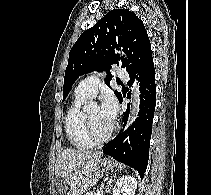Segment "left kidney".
I'll return each mask as SVG.
<instances>
[{
    "mask_svg": "<svg viewBox=\"0 0 211 195\" xmlns=\"http://www.w3.org/2000/svg\"><path fill=\"white\" fill-rule=\"evenodd\" d=\"M136 189V178L130 175H124L117 180L113 188V195H135Z\"/></svg>",
    "mask_w": 211,
    "mask_h": 195,
    "instance_id": "left-kidney-1",
    "label": "left kidney"
}]
</instances>
